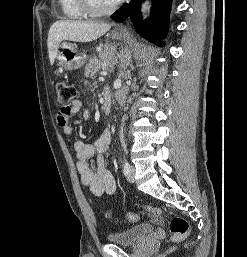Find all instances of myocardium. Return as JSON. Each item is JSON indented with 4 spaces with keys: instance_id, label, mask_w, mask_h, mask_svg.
I'll list each match as a JSON object with an SVG mask.
<instances>
[{
    "instance_id": "1",
    "label": "myocardium",
    "mask_w": 247,
    "mask_h": 257,
    "mask_svg": "<svg viewBox=\"0 0 247 257\" xmlns=\"http://www.w3.org/2000/svg\"><path fill=\"white\" fill-rule=\"evenodd\" d=\"M81 10L90 17H101L113 12L119 5V1H113L105 8H97L92 0H78Z\"/></svg>"
}]
</instances>
